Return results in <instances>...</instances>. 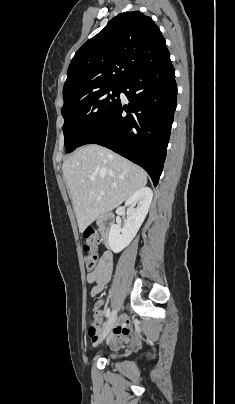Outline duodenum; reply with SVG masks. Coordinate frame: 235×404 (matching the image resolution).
I'll list each match as a JSON object with an SVG mask.
<instances>
[{"instance_id": "410a0bca", "label": "duodenum", "mask_w": 235, "mask_h": 404, "mask_svg": "<svg viewBox=\"0 0 235 404\" xmlns=\"http://www.w3.org/2000/svg\"><path fill=\"white\" fill-rule=\"evenodd\" d=\"M98 224L102 236L108 241L113 225V217L110 214H105L98 219Z\"/></svg>"}]
</instances>
